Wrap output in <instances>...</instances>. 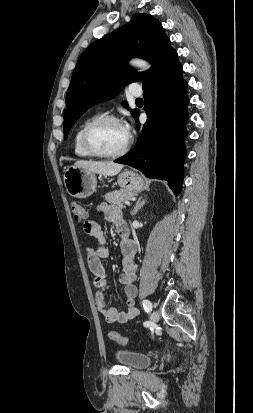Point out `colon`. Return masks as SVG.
I'll use <instances>...</instances> for the list:
<instances>
[{
    "mask_svg": "<svg viewBox=\"0 0 253 413\" xmlns=\"http://www.w3.org/2000/svg\"><path fill=\"white\" fill-rule=\"evenodd\" d=\"M70 208L76 221H82L85 218V210L80 203L73 201L70 204ZM109 338L112 341L118 342L123 345H127L130 343L128 338L123 337L122 335L114 331L109 333Z\"/></svg>",
    "mask_w": 253,
    "mask_h": 413,
    "instance_id": "1",
    "label": "colon"
}]
</instances>
